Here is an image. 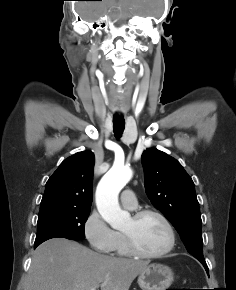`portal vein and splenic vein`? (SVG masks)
I'll list each match as a JSON object with an SVG mask.
<instances>
[{
	"label": "portal vein and splenic vein",
	"instance_id": "18ae733b",
	"mask_svg": "<svg viewBox=\"0 0 236 290\" xmlns=\"http://www.w3.org/2000/svg\"><path fill=\"white\" fill-rule=\"evenodd\" d=\"M99 287V285L92 287L90 290H96Z\"/></svg>",
	"mask_w": 236,
	"mask_h": 290
}]
</instances>
